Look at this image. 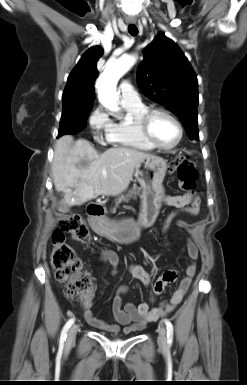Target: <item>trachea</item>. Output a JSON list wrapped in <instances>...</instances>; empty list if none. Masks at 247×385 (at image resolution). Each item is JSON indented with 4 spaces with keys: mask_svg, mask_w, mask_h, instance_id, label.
Returning a JSON list of instances; mask_svg holds the SVG:
<instances>
[{
    "mask_svg": "<svg viewBox=\"0 0 247 385\" xmlns=\"http://www.w3.org/2000/svg\"><path fill=\"white\" fill-rule=\"evenodd\" d=\"M128 32L130 33V35L136 36L138 34V28L133 24L129 25L128 26Z\"/></svg>",
    "mask_w": 247,
    "mask_h": 385,
    "instance_id": "trachea-1",
    "label": "trachea"
}]
</instances>
